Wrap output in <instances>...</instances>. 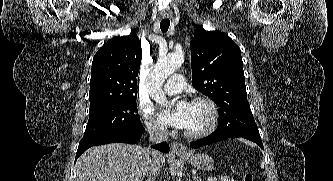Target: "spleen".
I'll list each match as a JSON object with an SVG mask.
<instances>
[{
	"label": "spleen",
	"mask_w": 333,
	"mask_h": 181,
	"mask_svg": "<svg viewBox=\"0 0 333 181\" xmlns=\"http://www.w3.org/2000/svg\"><path fill=\"white\" fill-rule=\"evenodd\" d=\"M261 168H264V162L260 163Z\"/></svg>",
	"instance_id": "obj_1"
}]
</instances>
